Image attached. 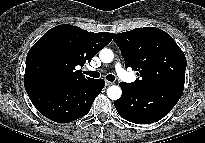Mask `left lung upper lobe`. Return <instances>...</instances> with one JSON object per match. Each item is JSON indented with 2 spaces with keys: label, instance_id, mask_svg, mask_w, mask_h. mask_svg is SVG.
<instances>
[{
  "label": "left lung upper lobe",
  "instance_id": "obj_1",
  "mask_svg": "<svg viewBox=\"0 0 205 143\" xmlns=\"http://www.w3.org/2000/svg\"><path fill=\"white\" fill-rule=\"evenodd\" d=\"M125 67L137 71L140 80L129 85L140 88L185 81L186 57L165 31L144 27L114 35Z\"/></svg>",
  "mask_w": 205,
  "mask_h": 143
}]
</instances>
